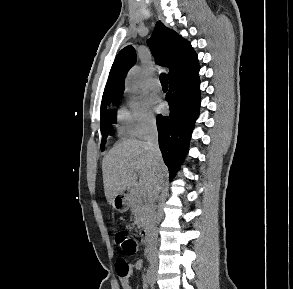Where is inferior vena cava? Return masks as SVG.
<instances>
[{
  "instance_id": "602c4592",
  "label": "inferior vena cava",
  "mask_w": 293,
  "mask_h": 289,
  "mask_svg": "<svg viewBox=\"0 0 293 289\" xmlns=\"http://www.w3.org/2000/svg\"><path fill=\"white\" fill-rule=\"evenodd\" d=\"M145 144L151 151L154 164H155V176L152 184L147 192V251L148 259L151 263H157V227H156V212L155 203L158 195L164 185V174L160 169V162L162 161L161 152L158 146V132L155 121H150L146 125L145 134L143 136Z\"/></svg>"
}]
</instances>
